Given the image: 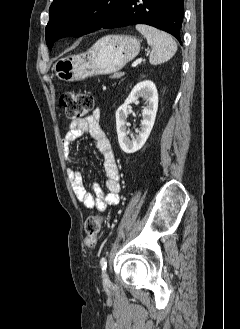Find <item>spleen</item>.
<instances>
[{
	"label": "spleen",
	"instance_id": "spleen-1",
	"mask_svg": "<svg viewBox=\"0 0 240 329\" xmlns=\"http://www.w3.org/2000/svg\"><path fill=\"white\" fill-rule=\"evenodd\" d=\"M136 29L144 35L147 43L152 47L149 57L152 65L163 63L175 55L177 44L171 35L144 24H137Z\"/></svg>",
	"mask_w": 240,
	"mask_h": 329
}]
</instances>
